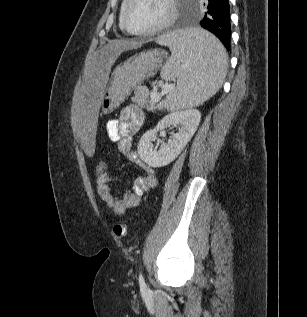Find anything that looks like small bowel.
Returning <instances> with one entry per match:
<instances>
[{"label": "small bowel", "instance_id": "obj_1", "mask_svg": "<svg viewBox=\"0 0 307 317\" xmlns=\"http://www.w3.org/2000/svg\"><path fill=\"white\" fill-rule=\"evenodd\" d=\"M144 118V113L140 108L135 105H128L121 110L117 119L108 121L106 125L110 140L117 143L120 152L143 171V175L134 179L131 190L124 192L121 197L113 193V184L116 182V178L112 174L106 172L98 176L96 182L97 193L106 206L118 216L138 207L144 193L152 189L157 183L155 170L145 164L131 150L132 135L143 124Z\"/></svg>", "mask_w": 307, "mask_h": 317}]
</instances>
